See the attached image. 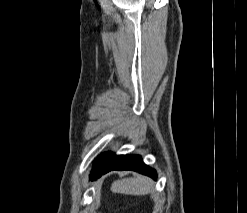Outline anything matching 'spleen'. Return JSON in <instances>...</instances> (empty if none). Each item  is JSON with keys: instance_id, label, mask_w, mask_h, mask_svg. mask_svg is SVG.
I'll return each instance as SVG.
<instances>
[{"instance_id": "spleen-1", "label": "spleen", "mask_w": 247, "mask_h": 213, "mask_svg": "<svg viewBox=\"0 0 247 213\" xmlns=\"http://www.w3.org/2000/svg\"><path fill=\"white\" fill-rule=\"evenodd\" d=\"M152 190L153 182L145 176L117 180L111 186L112 192L127 195H146Z\"/></svg>"}]
</instances>
